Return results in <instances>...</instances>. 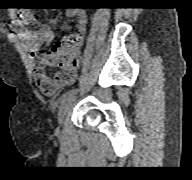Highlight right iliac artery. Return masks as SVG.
Wrapping results in <instances>:
<instances>
[{"label": "right iliac artery", "mask_w": 192, "mask_h": 180, "mask_svg": "<svg viewBox=\"0 0 192 180\" xmlns=\"http://www.w3.org/2000/svg\"><path fill=\"white\" fill-rule=\"evenodd\" d=\"M77 93V89L68 90L65 93H63L59 98V103H64L65 101L71 99L74 97V95Z\"/></svg>", "instance_id": "1"}]
</instances>
